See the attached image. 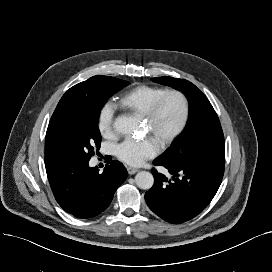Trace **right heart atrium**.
<instances>
[{"label":"right heart atrium","instance_id":"right-heart-atrium-1","mask_svg":"<svg viewBox=\"0 0 272 272\" xmlns=\"http://www.w3.org/2000/svg\"><path fill=\"white\" fill-rule=\"evenodd\" d=\"M114 116L115 106L112 102L104 103L97 116V128L99 133L104 137H110L114 134Z\"/></svg>","mask_w":272,"mask_h":272}]
</instances>
